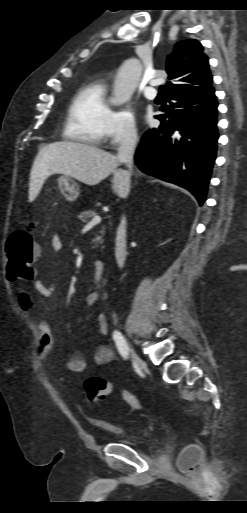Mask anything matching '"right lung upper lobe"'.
Here are the masks:
<instances>
[{
  "instance_id": "1",
  "label": "right lung upper lobe",
  "mask_w": 247,
  "mask_h": 513,
  "mask_svg": "<svg viewBox=\"0 0 247 513\" xmlns=\"http://www.w3.org/2000/svg\"><path fill=\"white\" fill-rule=\"evenodd\" d=\"M195 39L178 42L167 58V73L172 82L166 83V94L199 93L212 86L208 57Z\"/></svg>"
}]
</instances>
